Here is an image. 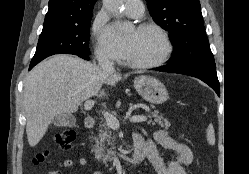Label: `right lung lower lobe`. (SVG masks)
Returning <instances> with one entry per match:
<instances>
[{
    "label": "right lung lower lobe",
    "instance_id": "obj_1",
    "mask_svg": "<svg viewBox=\"0 0 249 174\" xmlns=\"http://www.w3.org/2000/svg\"><path fill=\"white\" fill-rule=\"evenodd\" d=\"M79 57L83 58V59H86V60H89V55H86V54H78ZM40 61H34V62H31L30 63V66H29V70H31L36 64H38Z\"/></svg>",
    "mask_w": 249,
    "mask_h": 174
}]
</instances>
